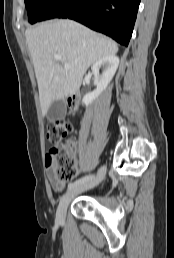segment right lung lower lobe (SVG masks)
Returning a JSON list of instances; mask_svg holds the SVG:
<instances>
[{"mask_svg": "<svg viewBox=\"0 0 174 258\" xmlns=\"http://www.w3.org/2000/svg\"><path fill=\"white\" fill-rule=\"evenodd\" d=\"M140 0H53L42 20L70 18L127 46Z\"/></svg>", "mask_w": 174, "mask_h": 258, "instance_id": "1", "label": "right lung lower lobe"}]
</instances>
